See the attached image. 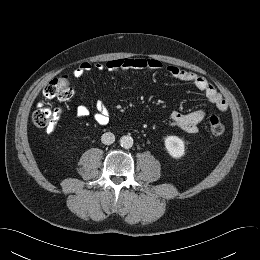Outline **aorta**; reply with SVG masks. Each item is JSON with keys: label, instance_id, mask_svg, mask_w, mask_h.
Returning a JSON list of instances; mask_svg holds the SVG:
<instances>
[{"label": "aorta", "instance_id": "1", "mask_svg": "<svg viewBox=\"0 0 260 260\" xmlns=\"http://www.w3.org/2000/svg\"><path fill=\"white\" fill-rule=\"evenodd\" d=\"M133 138L129 135H124L120 138V145L125 149H129L133 146Z\"/></svg>", "mask_w": 260, "mask_h": 260}]
</instances>
